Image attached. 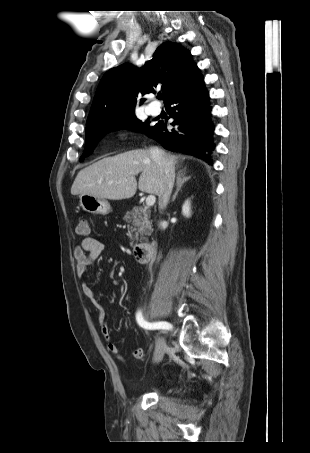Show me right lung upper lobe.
<instances>
[{
	"label": "right lung upper lobe",
	"mask_w": 310,
	"mask_h": 453,
	"mask_svg": "<svg viewBox=\"0 0 310 453\" xmlns=\"http://www.w3.org/2000/svg\"><path fill=\"white\" fill-rule=\"evenodd\" d=\"M196 68L189 52L176 43L165 42L142 68L122 64L110 69L98 85L86 129L133 113L138 93L154 92L157 86L166 102Z\"/></svg>",
	"instance_id": "cb5924a9"
}]
</instances>
